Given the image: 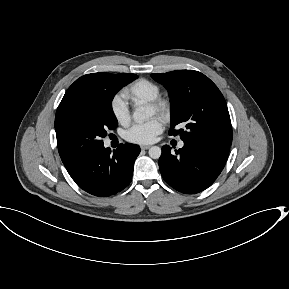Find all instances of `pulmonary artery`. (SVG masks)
Listing matches in <instances>:
<instances>
[{"mask_svg":"<svg viewBox=\"0 0 289 289\" xmlns=\"http://www.w3.org/2000/svg\"><path fill=\"white\" fill-rule=\"evenodd\" d=\"M183 146H184V143H183V142H180V143H179V147L182 148Z\"/></svg>","mask_w":289,"mask_h":289,"instance_id":"1","label":"pulmonary artery"}]
</instances>
